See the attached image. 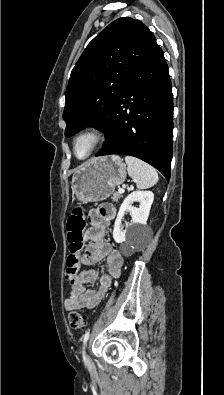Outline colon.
I'll return each mask as SVG.
<instances>
[{"instance_id":"1","label":"colon","mask_w":224,"mask_h":395,"mask_svg":"<svg viewBox=\"0 0 224 395\" xmlns=\"http://www.w3.org/2000/svg\"><path fill=\"white\" fill-rule=\"evenodd\" d=\"M85 225L83 209L81 207L75 208L66 223L67 240L71 254L67 259L65 277L71 282L75 279L79 271V257L83 249V231ZM86 322V316L79 312L73 311L69 314V325L73 330L83 329Z\"/></svg>"}]
</instances>
